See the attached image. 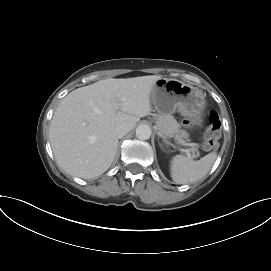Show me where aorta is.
Here are the masks:
<instances>
[{
  "mask_svg": "<svg viewBox=\"0 0 271 271\" xmlns=\"http://www.w3.org/2000/svg\"><path fill=\"white\" fill-rule=\"evenodd\" d=\"M136 136L140 140H147L151 136V128L146 124H141L136 128Z\"/></svg>",
  "mask_w": 271,
  "mask_h": 271,
  "instance_id": "aorta-1",
  "label": "aorta"
}]
</instances>
